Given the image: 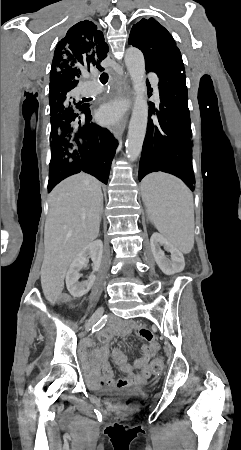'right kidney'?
Returning a JSON list of instances; mask_svg holds the SVG:
<instances>
[{
  "instance_id": "1",
  "label": "right kidney",
  "mask_w": 241,
  "mask_h": 450,
  "mask_svg": "<svg viewBox=\"0 0 241 450\" xmlns=\"http://www.w3.org/2000/svg\"><path fill=\"white\" fill-rule=\"evenodd\" d=\"M102 252L103 244L101 240H95V242H91V244L85 246L75 256L66 276L67 290L73 298H81V296H84V294H87L91 290L96 280L95 272H98L100 268ZM88 258H91L93 262V274L85 282H78L79 278H81L79 272L85 264H88Z\"/></svg>"
}]
</instances>
